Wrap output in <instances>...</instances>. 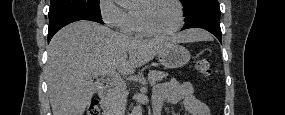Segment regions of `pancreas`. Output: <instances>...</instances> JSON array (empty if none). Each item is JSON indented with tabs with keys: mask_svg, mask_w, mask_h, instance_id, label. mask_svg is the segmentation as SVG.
<instances>
[{
	"mask_svg": "<svg viewBox=\"0 0 285 115\" xmlns=\"http://www.w3.org/2000/svg\"><path fill=\"white\" fill-rule=\"evenodd\" d=\"M167 76L168 73L152 70L148 74V79L151 83L155 84ZM127 95L126 85L115 84L104 100L106 112L112 115H120L125 108Z\"/></svg>",
	"mask_w": 285,
	"mask_h": 115,
	"instance_id": "obj_1",
	"label": "pancreas"
}]
</instances>
